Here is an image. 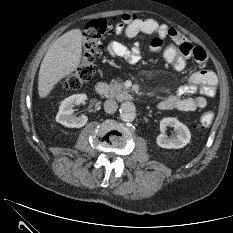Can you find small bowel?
Returning <instances> with one entry per match:
<instances>
[{"label": "small bowel", "instance_id": "c3829d8e", "mask_svg": "<svg viewBox=\"0 0 233 233\" xmlns=\"http://www.w3.org/2000/svg\"><path fill=\"white\" fill-rule=\"evenodd\" d=\"M115 31L118 35L128 39L134 38L141 33L157 34L164 39L170 38L185 59L193 58L199 64L200 69L191 74L184 85L180 86L174 94L157 104L159 110L188 112L205 108L207 97L216 94L218 78L214 72L205 69L208 62L207 53L203 48L194 46L176 29L161 24L154 19L140 18L135 14L126 13L122 15L121 22L116 25ZM107 49L111 56L122 57L131 64H135L141 59L138 43L132 47H127L120 41L114 40L108 44ZM193 94L197 95L194 97L189 96Z\"/></svg>", "mask_w": 233, "mask_h": 233}]
</instances>
